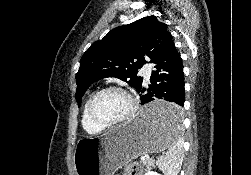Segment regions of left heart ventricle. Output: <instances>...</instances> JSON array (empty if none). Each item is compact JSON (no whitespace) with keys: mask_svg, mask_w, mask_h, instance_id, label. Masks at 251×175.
I'll use <instances>...</instances> for the list:
<instances>
[{"mask_svg":"<svg viewBox=\"0 0 251 175\" xmlns=\"http://www.w3.org/2000/svg\"><path fill=\"white\" fill-rule=\"evenodd\" d=\"M130 104L126 95L118 90L103 93L95 103V113L107 122L123 118L129 111Z\"/></svg>","mask_w":251,"mask_h":175,"instance_id":"b2bd125f","label":"left heart ventricle"}]
</instances>
